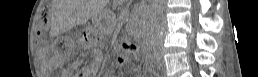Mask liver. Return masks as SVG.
Listing matches in <instances>:
<instances>
[{"mask_svg":"<svg viewBox=\"0 0 258 77\" xmlns=\"http://www.w3.org/2000/svg\"><path fill=\"white\" fill-rule=\"evenodd\" d=\"M54 15L69 26H74L79 21L82 9L75 0H56L53 3Z\"/></svg>","mask_w":258,"mask_h":77,"instance_id":"obj_1","label":"liver"}]
</instances>
